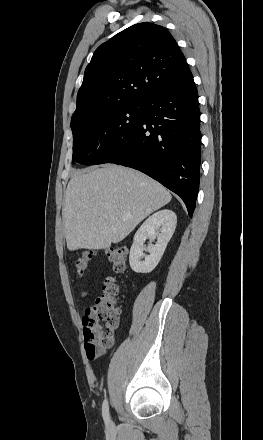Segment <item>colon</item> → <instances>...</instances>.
Instances as JSON below:
<instances>
[{
	"mask_svg": "<svg viewBox=\"0 0 263 440\" xmlns=\"http://www.w3.org/2000/svg\"><path fill=\"white\" fill-rule=\"evenodd\" d=\"M93 255L92 250H86L75 260L78 275L81 276L88 270L89 261ZM107 256L115 272L122 273L125 270L127 252L123 247L109 248ZM102 290V294L86 308L82 319L85 353L91 360L99 359L105 354L113 340L114 330L121 313V307L118 304L120 289L115 281L107 278Z\"/></svg>",
	"mask_w": 263,
	"mask_h": 440,
	"instance_id": "1",
	"label": "colon"
}]
</instances>
